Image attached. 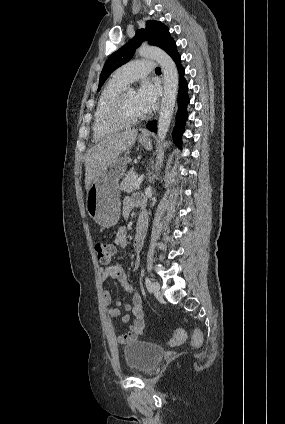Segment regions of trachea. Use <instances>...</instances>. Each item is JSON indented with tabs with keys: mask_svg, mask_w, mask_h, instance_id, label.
Segmentation results:
<instances>
[{
	"mask_svg": "<svg viewBox=\"0 0 285 424\" xmlns=\"http://www.w3.org/2000/svg\"><path fill=\"white\" fill-rule=\"evenodd\" d=\"M155 72L156 73H161V69L159 67H156Z\"/></svg>",
	"mask_w": 285,
	"mask_h": 424,
	"instance_id": "3493384b",
	"label": "trachea"
}]
</instances>
